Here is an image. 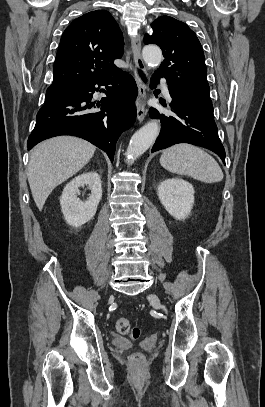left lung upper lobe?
I'll list each match as a JSON object with an SVG mask.
<instances>
[{
  "mask_svg": "<svg viewBox=\"0 0 265 407\" xmlns=\"http://www.w3.org/2000/svg\"><path fill=\"white\" fill-rule=\"evenodd\" d=\"M151 27L153 34L145 35L144 43L157 44L164 56L156 73L167 80L175 96L213 114L205 57L195 33L185 23L169 16L157 18Z\"/></svg>",
  "mask_w": 265,
  "mask_h": 407,
  "instance_id": "obj_1",
  "label": "left lung upper lobe"
}]
</instances>
